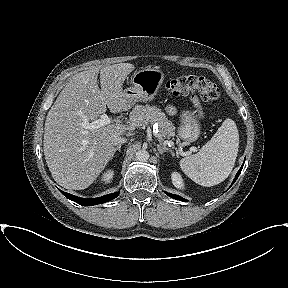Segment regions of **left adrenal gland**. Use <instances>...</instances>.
Returning a JSON list of instances; mask_svg holds the SVG:
<instances>
[{
  "instance_id": "a2214340",
  "label": "left adrenal gland",
  "mask_w": 288,
  "mask_h": 288,
  "mask_svg": "<svg viewBox=\"0 0 288 288\" xmlns=\"http://www.w3.org/2000/svg\"><path fill=\"white\" fill-rule=\"evenodd\" d=\"M157 149H158V151H159V153H160L161 155H162L164 152H167V151L171 152V154H172L173 156L175 155L174 152H172L169 148H167V147H165V146L158 145V146H157Z\"/></svg>"
}]
</instances>
